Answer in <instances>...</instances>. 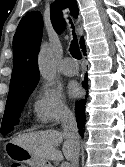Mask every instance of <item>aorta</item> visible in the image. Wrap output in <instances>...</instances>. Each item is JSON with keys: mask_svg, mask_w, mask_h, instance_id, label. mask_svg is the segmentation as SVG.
<instances>
[{"mask_svg": "<svg viewBox=\"0 0 125 167\" xmlns=\"http://www.w3.org/2000/svg\"><path fill=\"white\" fill-rule=\"evenodd\" d=\"M39 70L43 79L47 81L53 80L55 76V68L49 49L43 46L39 53Z\"/></svg>", "mask_w": 125, "mask_h": 167, "instance_id": "762f6f07", "label": "aorta"}]
</instances>
